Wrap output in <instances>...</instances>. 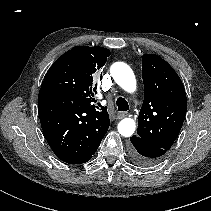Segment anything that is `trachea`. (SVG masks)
I'll return each instance as SVG.
<instances>
[{"label": "trachea", "mask_w": 211, "mask_h": 211, "mask_svg": "<svg viewBox=\"0 0 211 211\" xmlns=\"http://www.w3.org/2000/svg\"><path fill=\"white\" fill-rule=\"evenodd\" d=\"M116 106H117L118 111L129 110L128 102L122 97L117 98Z\"/></svg>", "instance_id": "1"}]
</instances>
